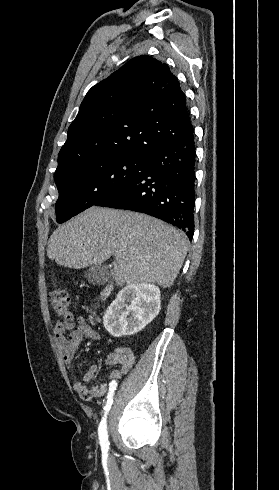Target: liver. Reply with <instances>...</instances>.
<instances>
[{"label":"liver","mask_w":279,"mask_h":490,"mask_svg":"<svg viewBox=\"0 0 279 490\" xmlns=\"http://www.w3.org/2000/svg\"><path fill=\"white\" fill-rule=\"evenodd\" d=\"M188 246L186 234L162 220L92 206L53 232L47 256L74 270L102 266L115 256L111 276L117 286L150 282L170 288Z\"/></svg>","instance_id":"1"}]
</instances>
